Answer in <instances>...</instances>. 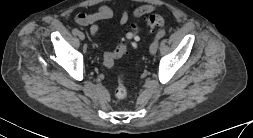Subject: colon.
I'll return each mask as SVG.
<instances>
[{
	"label": "colon",
	"instance_id": "obj_1",
	"mask_svg": "<svg viewBox=\"0 0 253 138\" xmlns=\"http://www.w3.org/2000/svg\"><path fill=\"white\" fill-rule=\"evenodd\" d=\"M164 19L158 14H151L144 20V26L150 30L161 28L164 26ZM140 26L133 24L131 28L125 33L123 39L117 44L113 51L107 52L104 56V64L108 68L115 66V60L124 56L130 46L135 47L139 40ZM127 96V88L125 85L124 77L122 75L118 78V84L115 89V97L118 100H123Z\"/></svg>",
	"mask_w": 253,
	"mask_h": 138
}]
</instances>
